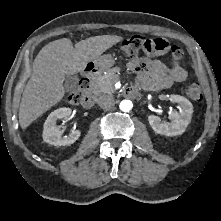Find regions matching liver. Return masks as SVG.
<instances>
[{
    "label": "liver",
    "mask_w": 221,
    "mask_h": 221,
    "mask_svg": "<svg viewBox=\"0 0 221 221\" xmlns=\"http://www.w3.org/2000/svg\"><path fill=\"white\" fill-rule=\"evenodd\" d=\"M121 40L116 35H101L75 44L62 38L45 45L33 62L32 75L24 89L19 107V123L26 129L55 106L65 95V76L82 72L87 63L100 57Z\"/></svg>",
    "instance_id": "obj_1"
}]
</instances>
